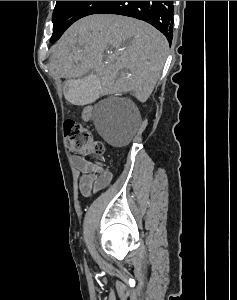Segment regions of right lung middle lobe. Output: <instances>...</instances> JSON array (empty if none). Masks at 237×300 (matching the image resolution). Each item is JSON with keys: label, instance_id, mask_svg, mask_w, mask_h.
I'll return each instance as SVG.
<instances>
[{"label": "right lung middle lobe", "instance_id": "right-lung-middle-lobe-1", "mask_svg": "<svg viewBox=\"0 0 237 300\" xmlns=\"http://www.w3.org/2000/svg\"><path fill=\"white\" fill-rule=\"evenodd\" d=\"M107 1H56L53 11V35L57 41L65 30L82 17L94 14Z\"/></svg>", "mask_w": 237, "mask_h": 300}]
</instances>
